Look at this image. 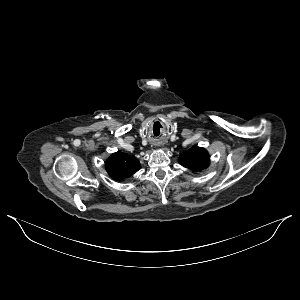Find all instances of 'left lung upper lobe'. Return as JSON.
<instances>
[{
  "label": "left lung upper lobe",
  "instance_id": "5c2ea615",
  "mask_svg": "<svg viewBox=\"0 0 300 300\" xmlns=\"http://www.w3.org/2000/svg\"><path fill=\"white\" fill-rule=\"evenodd\" d=\"M179 163L192 170L201 171L210 164L208 152L201 147H193L179 156Z\"/></svg>",
  "mask_w": 300,
  "mask_h": 300
}]
</instances>
